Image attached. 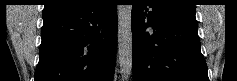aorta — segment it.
Instances as JSON below:
<instances>
[{
  "label": "aorta",
  "mask_w": 237,
  "mask_h": 81,
  "mask_svg": "<svg viewBox=\"0 0 237 81\" xmlns=\"http://www.w3.org/2000/svg\"><path fill=\"white\" fill-rule=\"evenodd\" d=\"M118 57L120 73L128 79L132 70V5L118 6Z\"/></svg>",
  "instance_id": "762f6f07"
}]
</instances>
